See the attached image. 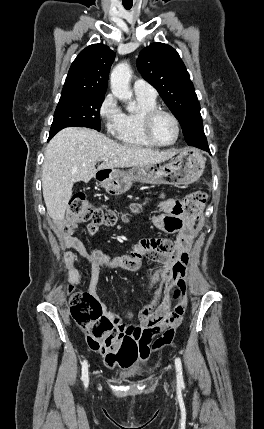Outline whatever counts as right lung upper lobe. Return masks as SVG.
<instances>
[{
  "label": "right lung upper lobe",
  "mask_w": 264,
  "mask_h": 429,
  "mask_svg": "<svg viewBox=\"0 0 264 429\" xmlns=\"http://www.w3.org/2000/svg\"><path fill=\"white\" fill-rule=\"evenodd\" d=\"M115 53L106 45L93 44L73 61L62 93L105 95Z\"/></svg>",
  "instance_id": "1"
}]
</instances>
